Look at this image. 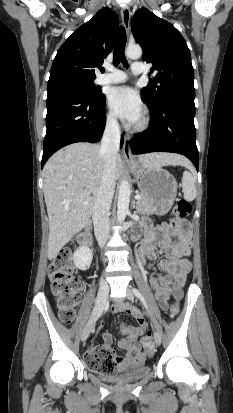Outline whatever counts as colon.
Returning a JSON list of instances; mask_svg holds the SVG:
<instances>
[{"label": "colon", "mask_w": 233, "mask_h": 413, "mask_svg": "<svg viewBox=\"0 0 233 413\" xmlns=\"http://www.w3.org/2000/svg\"><path fill=\"white\" fill-rule=\"evenodd\" d=\"M192 212L190 201L179 199L174 213L178 219L188 217ZM49 278L51 280V290L55 296L59 310V318L65 324H70L75 318L76 306L80 300V281L74 273L71 254L64 250L60 252L49 266ZM178 299L172 303L170 312L172 316L179 313ZM145 350L150 349L152 340L150 335H146L143 340ZM87 365L98 372L114 374L118 372L116 356L111 349L101 348L93 356L85 358Z\"/></svg>", "instance_id": "colon-1"}]
</instances>
